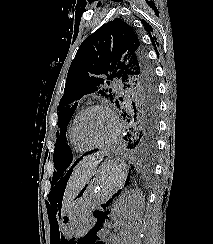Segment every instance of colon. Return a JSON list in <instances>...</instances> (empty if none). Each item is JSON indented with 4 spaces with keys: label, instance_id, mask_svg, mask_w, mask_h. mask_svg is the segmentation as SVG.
<instances>
[{
    "label": "colon",
    "instance_id": "obj_1",
    "mask_svg": "<svg viewBox=\"0 0 213 244\" xmlns=\"http://www.w3.org/2000/svg\"><path fill=\"white\" fill-rule=\"evenodd\" d=\"M97 244H106L105 242H98Z\"/></svg>",
    "mask_w": 213,
    "mask_h": 244
}]
</instances>
